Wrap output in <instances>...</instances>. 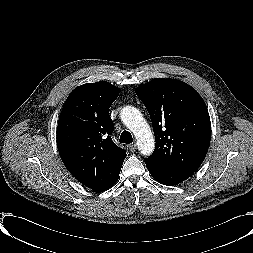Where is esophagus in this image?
I'll list each match as a JSON object with an SVG mask.
<instances>
[{
  "label": "esophagus",
  "instance_id": "1",
  "mask_svg": "<svg viewBox=\"0 0 253 253\" xmlns=\"http://www.w3.org/2000/svg\"><path fill=\"white\" fill-rule=\"evenodd\" d=\"M128 148H129V150H130L131 152H135V151L137 150V145H136V144H130V145L128 146Z\"/></svg>",
  "mask_w": 253,
  "mask_h": 253
}]
</instances>
